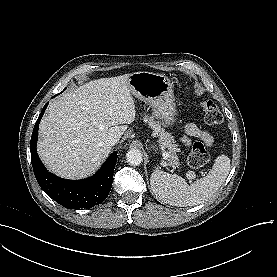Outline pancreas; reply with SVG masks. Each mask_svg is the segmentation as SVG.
Listing matches in <instances>:
<instances>
[{"instance_id": "pancreas-1", "label": "pancreas", "mask_w": 277, "mask_h": 277, "mask_svg": "<svg viewBox=\"0 0 277 277\" xmlns=\"http://www.w3.org/2000/svg\"><path fill=\"white\" fill-rule=\"evenodd\" d=\"M144 120L149 123V126L153 129L154 134L159 137L160 146L164 149H167L170 156H169V165L173 168L179 166V158L177 156V152H180L181 149L176 144L174 137L166 132L157 121L154 120L152 116H145Z\"/></svg>"}]
</instances>
